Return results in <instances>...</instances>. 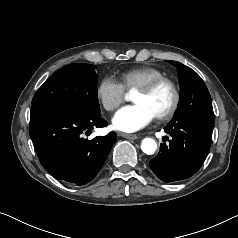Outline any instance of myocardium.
Here are the masks:
<instances>
[{
  "instance_id": "obj_1",
  "label": "myocardium",
  "mask_w": 238,
  "mask_h": 238,
  "mask_svg": "<svg viewBox=\"0 0 238 238\" xmlns=\"http://www.w3.org/2000/svg\"><path fill=\"white\" fill-rule=\"evenodd\" d=\"M163 84H166L170 87V89L173 93V101L167 111H165L162 114L157 115L156 117L159 120H168L175 115V113L177 112V110L179 108L180 101H181L180 90H179L177 84L172 79L165 77V76L159 77V78L151 80L150 82L146 83L145 85L141 86L140 88H138L136 90H137V92H141L144 94H150Z\"/></svg>"
}]
</instances>
